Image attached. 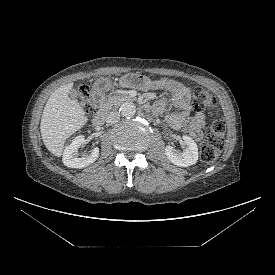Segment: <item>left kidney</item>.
<instances>
[{"instance_id":"5707ae66","label":"left kidney","mask_w":275,"mask_h":275,"mask_svg":"<svg viewBox=\"0 0 275 275\" xmlns=\"http://www.w3.org/2000/svg\"><path fill=\"white\" fill-rule=\"evenodd\" d=\"M182 138L187 145L185 150L179 151L173 146L168 145L165 148V154L174 165L188 167L197 162L198 147L196 142L191 137L183 135Z\"/></svg>"}]
</instances>
